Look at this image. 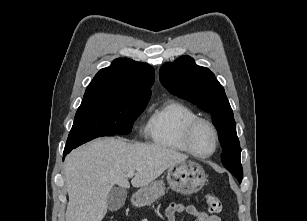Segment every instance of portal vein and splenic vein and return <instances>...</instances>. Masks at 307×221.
<instances>
[{
  "mask_svg": "<svg viewBox=\"0 0 307 221\" xmlns=\"http://www.w3.org/2000/svg\"><path fill=\"white\" fill-rule=\"evenodd\" d=\"M133 176H134V172L133 171L128 172L127 177L131 178Z\"/></svg>",
  "mask_w": 307,
  "mask_h": 221,
  "instance_id": "obj_1",
  "label": "portal vein and splenic vein"
}]
</instances>
